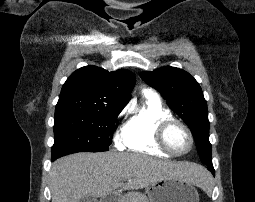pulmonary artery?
Wrapping results in <instances>:
<instances>
[{"label": "pulmonary artery", "mask_w": 255, "mask_h": 202, "mask_svg": "<svg viewBox=\"0 0 255 202\" xmlns=\"http://www.w3.org/2000/svg\"><path fill=\"white\" fill-rule=\"evenodd\" d=\"M144 94H150V95H155V96H157L152 90H150V89H146V90H144Z\"/></svg>", "instance_id": "pulmonary-artery-1"}]
</instances>
